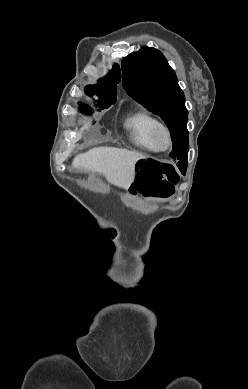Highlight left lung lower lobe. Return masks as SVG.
I'll return each mask as SVG.
<instances>
[{"label": "left lung lower lobe", "instance_id": "1", "mask_svg": "<svg viewBox=\"0 0 248 389\" xmlns=\"http://www.w3.org/2000/svg\"><path fill=\"white\" fill-rule=\"evenodd\" d=\"M177 166L179 167V169L182 172V174L185 175L186 168H187V158H185L184 160H180L178 162Z\"/></svg>", "mask_w": 248, "mask_h": 389}]
</instances>
